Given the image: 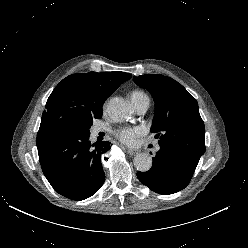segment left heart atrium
I'll return each mask as SVG.
<instances>
[{
    "instance_id": "obj_1",
    "label": "left heart atrium",
    "mask_w": 248,
    "mask_h": 248,
    "mask_svg": "<svg viewBox=\"0 0 248 248\" xmlns=\"http://www.w3.org/2000/svg\"><path fill=\"white\" fill-rule=\"evenodd\" d=\"M145 133V129L140 126L122 127L115 131L116 137L126 145H134L138 138Z\"/></svg>"
}]
</instances>
